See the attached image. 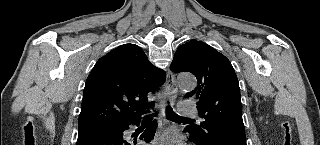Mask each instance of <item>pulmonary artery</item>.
Listing matches in <instances>:
<instances>
[{
  "label": "pulmonary artery",
  "mask_w": 320,
  "mask_h": 145,
  "mask_svg": "<svg viewBox=\"0 0 320 145\" xmlns=\"http://www.w3.org/2000/svg\"><path fill=\"white\" fill-rule=\"evenodd\" d=\"M179 113L183 116L198 117L197 110L193 106L181 107Z\"/></svg>",
  "instance_id": "pulmonary-artery-1"
}]
</instances>
